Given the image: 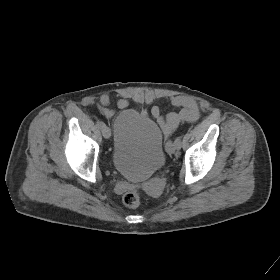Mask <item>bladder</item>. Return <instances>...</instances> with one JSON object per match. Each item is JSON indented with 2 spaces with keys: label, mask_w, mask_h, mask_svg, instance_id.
I'll return each instance as SVG.
<instances>
[{
  "label": "bladder",
  "mask_w": 280,
  "mask_h": 280,
  "mask_svg": "<svg viewBox=\"0 0 280 280\" xmlns=\"http://www.w3.org/2000/svg\"><path fill=\"white\" fill-rule=\"evenodd\" d=\"M164 137L159 123L133 109L121 111L113 123L111 160L132 180H145L164 165Z\"/></svg>",
  "instance_id": "bladder-1"
}]
</instances>
